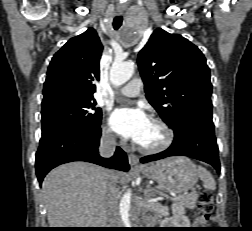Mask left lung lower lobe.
I'll list each match as a JSON object with an SVG mask.
<instances>
[{
    "mask_svg": "<svg viewBox=\"0 0 252 231\" xmlns=\"http://www.w3.org/2000/svg\"><path fill=\"white\" fill-rule=\"evenodd\" d=\"M172 129L174 130L172 145L161 153L141 158L142 163L181 155L209 163L220 172L212 114L187 113L173 124Z\"/></svg>",
    "mask_w": 252,
    "mask_h": 231,
    "instance_id": "0a47b994",
    "label": "left lung lower lobe"
}]
</instances>
